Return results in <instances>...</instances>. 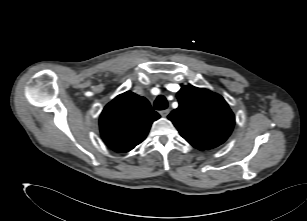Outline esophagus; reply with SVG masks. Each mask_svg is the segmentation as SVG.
I'll return each mask as SVG.
<instances>
[{"label":"esophagus","mask_w":307,"mask_h":221,"mask_svg":"<svg viewBox=\"0 0 307 221\" xmlns=\"http://www.w3.org/2000/svg\"><path fill=\"white\" fill-rule=\"evenodd\" d=\"M169 112H170L169 109H165V110L160 111V115L162 117H166V116H168Z\"/></svg>","instance_id":"obj_1"}]
</instances>
